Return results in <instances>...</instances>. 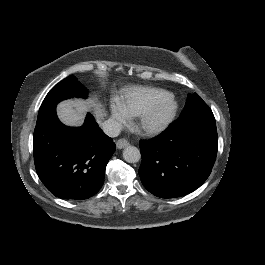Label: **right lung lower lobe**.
<instances>
[{
	"mask_svg": "<svg viewBox=\"0 0 265 265\" xmlns=\"http://www.w3.org/2000/svg\"><path fill=\"white\" fill-rule=\"evenodd\" d=\"M33 139L37 174L54 196L82 200L100 190L116 146L91 114L81 127H67L54 108L37 118Z\"/></svg>",
	"mask_w": 265,
	"mask_h": 265,
	"instance_id": "98d812e1",
	"label": "right lung lower lobe"
}]
</instances>
